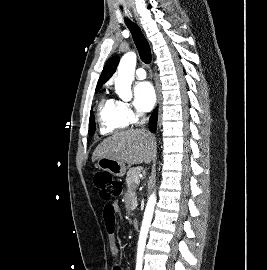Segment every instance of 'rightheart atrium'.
<instances>
[{
  "label": "right heart atrium",
  "mask_w": 267,
  "mask_h": 270,
  "mask_svg": "<svg viewBox=\"0 0 267 270\" xmlns=\"http://www.w3.org/2000/svg\"><path fill=\"white\" fill-rule=\"evenodd\" d=\"M116 103L118 105L121 116L128 123H135L139 120L140 115L133 109L130 103L123 100H117Z\"/></svg>",
  "instance_id": "right-heart-atrium-1"
}]
</instances>
